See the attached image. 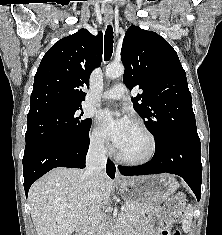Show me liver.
Masks as SVG:
<instances>
[{
  "mask_svg": "<svg viewBox=\"0 0 222 235\" xmlns=\"http://www.w3.org/2000/svg\"><path fill=\"white\" fill-rule=\"evenodd\" d=\"M112 187L104 172L96 190L100 202L109 198ZM28 198L37 235H71L92 214L84 170L53 169L31 186Z\"/></svg>",
  "mask_w": 222,
  "mask_h": 235,
  "instance_id": "6515ba94",
  "label": "liver"
}]
</instances>
